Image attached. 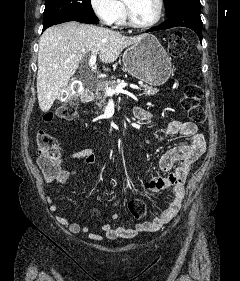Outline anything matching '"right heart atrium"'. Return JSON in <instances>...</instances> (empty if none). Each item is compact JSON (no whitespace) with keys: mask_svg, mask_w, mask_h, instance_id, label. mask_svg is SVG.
Listing matches in <instances>:
<instances>
[{"mask_svg":"<svg viewBox=\"0 0 240 281\" xmlns=\"http://www.w3.org/2000/svg\"><path fill=\"white\" fill-rule=\"evenodd\" d=\"M90 7L95 16L106 25L117 23L120 15L118 0H89Z\"/></svg>","mask_w":240,"mask_h":281,"instance_id":"right-heart-atrium-1","label":"right heart atrium"}]
</instances>
